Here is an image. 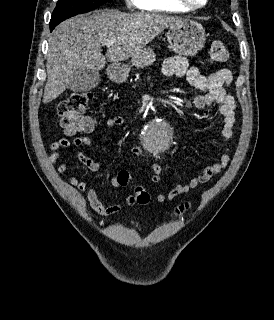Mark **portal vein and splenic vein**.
<instances>
[{
    "instance_id": "obj_1",
    "label": "portal vein and splenic vein",
    "mask_w": 274,
    "mask_h": 320,
    "mask_svg": "<svg viewBox=\"0 0 274 320\" xmlns=\"http://www.w3.org/2000/svg\"><path fill=\"white\" fill-rule=\"evenodd\" d=\"M113 44H114V42H106V44H104V46H107V48H108V46H113Z\"/></svg>"
}]
</instances>
